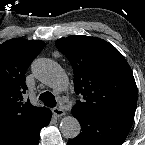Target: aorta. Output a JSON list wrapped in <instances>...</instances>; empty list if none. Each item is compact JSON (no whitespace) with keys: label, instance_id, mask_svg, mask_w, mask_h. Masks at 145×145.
Returning a JSON list of instances; mask_svg holds the SVG:
<instances>
[{"label":"aorta","instance_id":"1","mask_svg":"<svg viewBox=\"0 0 145 145\" xmlns=\"http://www.w3.org/2000/svg\"><path fill=\"white\" fill-rule=\"evenodd\" d=\"M36 78L54 90L61 92L68 86V79L61 67L52 60L38 59L32 65ZM60 130L64 137L73 139L80 133L79 121L73 116H65L60 123Z\"/></svg>","mask_w":145,"mask_h":145}]
</instances>
